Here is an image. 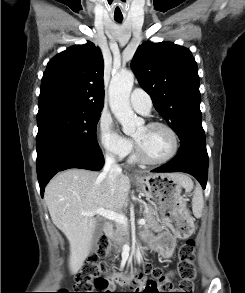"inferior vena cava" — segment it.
<instances>
[{
  "mask_svg": "<svg viewBox=\"0 0 245 293\" xmlns=\"http://www.w3.org/2000/svg\"><path fill=\"white\" fill-rule=\"evenodd\" d=\"M121 172L122 169L117 164L114 156L112 154H106L102 175L106 177L107 183L112 190L116 188V182Z\"/></svg>",
  "mask_w": 245,
  "mask_h": 293,
  "instance_id": "obj_1",
  "label": "inferior vena cava"
}]
</instances>
